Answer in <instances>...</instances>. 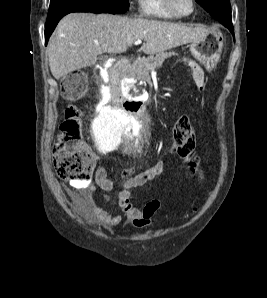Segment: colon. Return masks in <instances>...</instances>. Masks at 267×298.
Segmentation results:
<instances>
[{"instance_id": "5ec220e1", "label": "colon", "mask_w": 267, "mask_h": 298, "mask_svg": "<svg viewBox=\"0 0 267 298\" xmlns=\"http://www.w3.org/2000/svg\"><path fill=\"white\" fill-rule=\"evenodd\" d=\"M86 89L87 79L81 72H72L62 80V95L69 103L80 99ZM81 136L82 122L78 110L69 104L65 108L64 118L59 126L58 142L53 149L52 160L56 174L64 180L86 181L93 172L95 164L91 155L85 152H71L69 149V146L79 141ZM172 149L185 160L192 173L200 174L199 158L196 153V134L190 119L186 116L177 118L173 124ZM127 173L132 174L131 171Z\"/></svg>"}]
</instances>
